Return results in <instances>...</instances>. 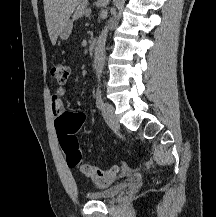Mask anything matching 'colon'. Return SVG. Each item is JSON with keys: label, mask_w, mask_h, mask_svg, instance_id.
I'll use <instances>...</instances> for the list:
<instances>
[{"label": "colon", "mask_w": 216, "mask_h": 217, "mask_svg": "<svg viewBox=\"0 0 216 217\" xmlns=\"http://www.w3.org/2000/svg\"><path fill=\"white\" fill-rule=\"evenodd\" d=\"M52 76L60 84H65L70 75V67L65 62L55 63L51 68ZM86 115L82 112L64 113L57 121V134L60 146L70 167H80L85 177L93 179L97 185L105 187L120 176L126 167L114 166L108 170L99 169L93 165L82 164V154L76 138V132L83 126Z\"/></svg>", "instance_id": "5ec220e1"}]
</instances>
